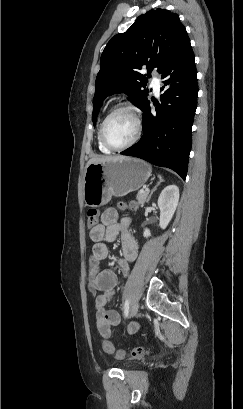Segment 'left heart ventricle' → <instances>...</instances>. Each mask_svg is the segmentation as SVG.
<instances>
[{
  "instance_id": "obj_1",
  "label": "left heart ventricle",
  "mask_w": 243,
  "mask_h": 409,
  "mask_svg": "<svg viewBox=\"0 0 243 409\" xmlns=\"http://www.w3.org/2000/svg\"><path fill=\"white\" fill-rule=\"evenodd\" d=\"M136 130L134 118L129 112L122 111L109 119L105 127V133L108 141L121 146L129 142Z\"/></svg>"
}]
</instances>
